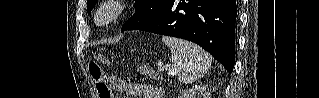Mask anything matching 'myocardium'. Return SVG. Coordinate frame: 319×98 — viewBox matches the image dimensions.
I'll return each mask as SVG.
<instances>
[{
    "mask_svg": "<svg viewBox=\"0 0 319 98\" xmlns=\"http://www.w3.org/2000/svg\"><path fill=\"white\" fill-rule=\"evenodd\" d=\"M127 8L126 1H105L96 9L95 20L102 26L111 25L117 22L126 13Z\"/></svg>",
    "mask_w": 319,
    "mask_h": 98,
    "instance_id": "myocardium-1",
    "label": "myocardium"
}]
</instances>
